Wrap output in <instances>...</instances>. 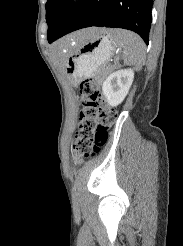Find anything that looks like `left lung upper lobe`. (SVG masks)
Here are the masks:
<instances>
[{
    "mask_svg": "<svg viewBox=\"0 0 183 246\" xmlns=\"http://www.w3.org/2000/svg\"><path fill=\"white\" fill-rule=\"evenodd\" d=\"M68 2L69 0H47L45 7L48 24V42L59 35L80 4L79 2L75 5H69Z\"/></svg>",
    "mask_w": 183,
    "mask_h": 246,
    "instance_id": "1",
    "label": "left lung upper lobe"
}]
</instances>
